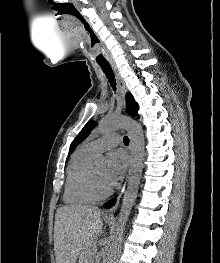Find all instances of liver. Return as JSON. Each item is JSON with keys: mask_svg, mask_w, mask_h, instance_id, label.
I'll return each mask as SVG.
<instances>
[{"mask_svg": "<svg viewBox=\"0 0 220 263\" xmlns=\"http://www.w3.org/2000/svg\"><path fill=\"white\" fill-rule=\"evenodd\" d=\"M101 210L93 206H62L54 225L56 263H90L91 250L102 230Z\"/></svg>", "mask_w": 220, "mask_h": 263, "instance_id": "1", "label": "liver"}]
</instances>
